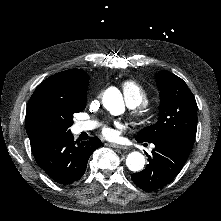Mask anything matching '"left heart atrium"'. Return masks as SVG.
<instances>
[{
	"label": "left heart atrium",
	"instance_id": "obj_1",
	"mask_svg": "<svg viewBox=\"0 0 221 221\" xmlns=\"http://www.w3.org/2000/svg\"><path fill=\"white\" fill-rule=\"evenodd\" d=\"M101 133H102V136L108 140H114L117 138V132L110 125L104 126L101 130Z\"/></svg>",
	"mask_w": 221,
	"mask_h": 221
}]
</instances>
